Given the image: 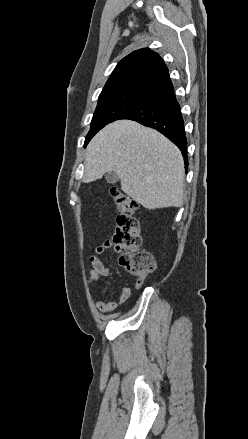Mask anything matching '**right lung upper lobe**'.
Masks as SVG:
<instances>
[{
    "mask_svg": "<svg viewBox=\"0 0 248 439\" xmlns=\"http://www.w3.org/2000/svg\"><path fill=\"white\" fill-rule=\"evenodd\" d=\"M172 86L163 59L148 48L124 57L115 67L99 97L132 92L152 97Z\"/></svg>",
    "mask_w": 248,
    "mask_h": 439,
    "instance_id": "1",
    "label": "right lung upper lobe"
}]
</instances>
